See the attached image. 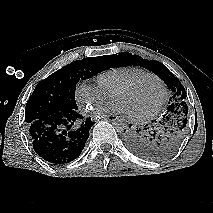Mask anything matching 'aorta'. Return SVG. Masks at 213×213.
Here are the masks:
<instances>
[{"instance_id": "762f6f07", "label": "aorta", "mask_w": 213, "mask_h": 213, "mask_svg": "<svg viewBox=\"0 0 213 213\" xmlns=\"http://www.w3.org/2000/svg\"><path fill=\"white\" fill-rule=\"evenodd\" d=\"M112 124L115 130L120 133H123L128 128L127 121L121 116H117Z\"/></svg>"}]
</instances>
